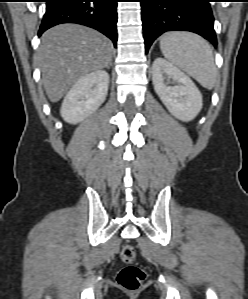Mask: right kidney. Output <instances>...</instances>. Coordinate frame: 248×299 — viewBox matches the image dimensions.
Instances as JSON below:
<instances>
[{"mask_svg":"<svg viewBox=\"0 0 248 299\" xmlns=\"http://www.w3.org/2000/svg\"><path fill=\"white\" fill-rule=\"evenodd\" d=\"M109 86V74L97 70L80 78L66 94L61 116L71 124H77L94 113L105 101Z\"/></svg>","mask_w":248,"mask_h":299,"instance_id":"1","label":"right kidney"}]
</instances>
